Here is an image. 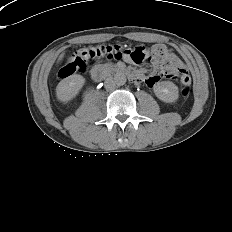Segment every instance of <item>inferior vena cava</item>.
I'll list each match as a JSON object with an SVG mask.
<instances>
[{"mask_svg":"<svg viewBox=\"0 0 232 232\" xmlns=\"http://www.w3.org/2000/svg\"><path fill=\"white\" fill-rule=\"evenodd\" d=\"M115 81L113 80V78H107L106 81H105V88L106 90L108 91H112L115 89Z\"/></svg>","mask_w":232,"mask_h":232,"instance_id":"602c4592","label":"inferior vena cava"}]
</instances>
